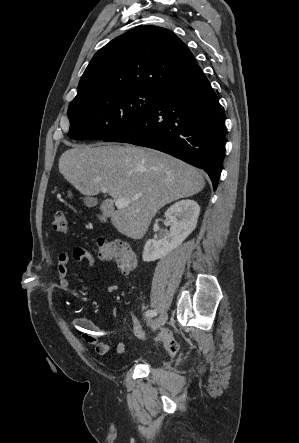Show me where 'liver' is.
<instances>
[{
  "label": "liver",
  "mask_w": 299,
  "mask_h": 443,
  "mask_svg": "<svg viewBox=\"0 0 299 443\" xmlns=\"http://www.w3.org/2000/svg\"><path fill=\"white\" fill-rule=\"evenodd\" d=\"M59 171L87 196L107 189L111 198L100 205L105 217L122 234L140 239L158 210L199 193L205 186L195 167L155 150L120 145L73 146L59 159ZM119 198L127 207L115 210Z\"/></svg>",
  "instance_id": "liver-1"
}]
</instances>
